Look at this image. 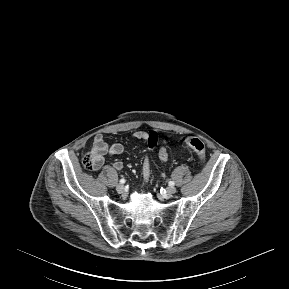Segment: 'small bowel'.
<instances>
[{
	"mask_svg": "<svg viewBox=\"0 0 289 289\" xmlns=\"http://www.w3.org/2000/svg\"><path fill=\"white\" fill-rule=\"evenodd\" d=\"M149 137V133L144 132V131H137L133 134L134 139H139V140H144L147 141ZM92 154L94 155L96 159V166L95 169H98L102 166L103 164V157L105 155H111V156H116L120 155L124 151V146L121 143H114L111 145H108L103 136L101 134H98L94 137L93 142H92ZM112 167L120 171L123 168V164L120 161H115L112 163ZM165 174H162V177H164Z\"/></svg>",
	"mask_w": 289,
	"mask_h": 289,
	"instance_id": "c3829d8e",
	"label": "small bowel"
}]
</instances>
